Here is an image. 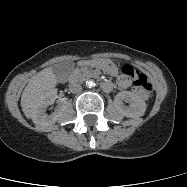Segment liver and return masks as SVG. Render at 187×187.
Masks as SVG:
<instances>
[{
    "instance_id": "liver-1",
    "label": "liver",
    "mask_w": 187,
    "mask_h": 187,
    "mask_svg": "<svg viewBox=\"0 0 187 187\" xmlns=\"http://www.w3.org/2000/svg\"><path fill=\"white\" fill-rule=\"evenodd\" d=\"M57 83L51 67L43 69L31 78L21 96L22 111L27 118L35 119L37 111L43 106L46 94Z\"/></svg>"
}]
</instances>
